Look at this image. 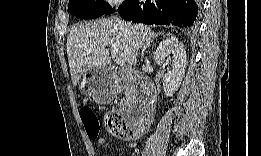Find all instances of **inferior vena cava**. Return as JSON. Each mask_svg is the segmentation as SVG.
Listing matches in <instances>:
<instances>
[{"label": "inferior vena cava", "instance_id": "obj_1", "mask_svg": "<svg viewBox=\"0 0 261 156\" xmlns=\"http://www.w3.org/2000/svg\"><path fill=\"white\" fill-rule=\"evenodd\" d=\"M115 22H116V24H117L118 26H120L121 28H124V29H125L126 34H129V31H128V29H127V27H126V25H125L124 22H122V21H121L119 18H117V17H115Z\"/></svg>", "mask_w": 261, "mask_h": 156}]
</instances>
